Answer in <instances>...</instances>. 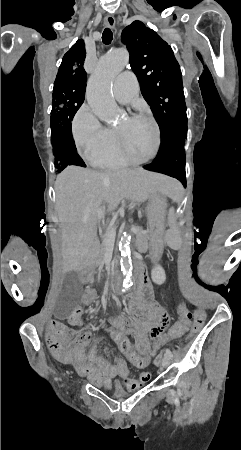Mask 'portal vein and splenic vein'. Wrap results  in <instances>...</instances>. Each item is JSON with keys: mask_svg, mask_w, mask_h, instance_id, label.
<instances>
[{"mask_svg": "<svg viewBox=\"0 0 241 450\" xmlns=\"http://www.w3.org/2000/svg\"><path fill=\"white\" fill-rule=\"evenodd\" d=\"M137 226H132L131 231H133L132 233L135 234L137 231ZM115 236H116V230H114V228H112V226H110V228H108L107 232H105V240H107V242H114L115 240Z\"/></svg>", "mask_w": 241, "mask_h": 450, "instance_id": "portal-vein-and-splenic-vein-1", "label": "portal vein and splenic vein"}]
</instances>
